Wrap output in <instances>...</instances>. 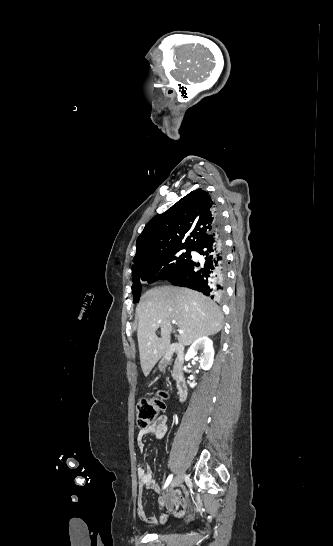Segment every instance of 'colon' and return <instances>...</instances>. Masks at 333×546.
Segmentation results:
<instances>
[{"label":"colon","instance_id":"1","mask_svg":"<svg viewBox=\"0 0 333 546\" xmlns=\"http://www.w3.org/2000/svg\"><path fill=\"white\" fill-rule=\"evenodd\" d=\"M167 392L157 391L151 398L141 399L136 406V422L140 429L148 428L165 409Z\"/></svg>","mask_w":333,"mask_h":546}]
</instances>
